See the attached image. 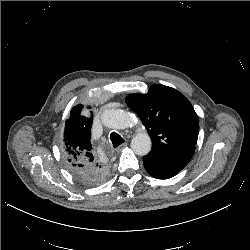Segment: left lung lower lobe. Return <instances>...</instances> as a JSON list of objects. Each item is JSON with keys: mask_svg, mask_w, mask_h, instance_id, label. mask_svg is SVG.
Returning a JSON list of instances; mask_svg holds the SVG:
<instances>
[{"mask_svg": "<svg viewBox=\"0 0 250 250\" xmlns=\"http://www.w3.org/2000/svg\"><path fill=\"white\" fill-rule=\"evenodd\" d=\"M143 163L146 171L157 179H169L180 171V169L159 166L146 158H143Z\"/></svg>", "mask_w": 250, "mask_h": 250, "instance_id": "0a47b994", "label": "left lung lower lobe"}]
</instances>
